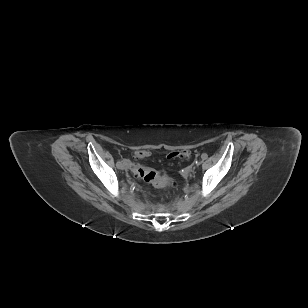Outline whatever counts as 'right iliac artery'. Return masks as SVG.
<instances>
[{
    "label": "right iliac artery",
    "instance_id": "1",
    "mask_svg": "<svg viewBox=\"0 0 308 308\" xmlns=\"http://www.w3.org/2000/svg\"><path fill=\"white\" fill-rule=\"evenodd\" d=\"M120 164H121V162H120V161H118V162L116 163V166L118 167Z\"/></svg>",
    "mask_w": 308,
    "mask_h": 308
}]
</instances>
